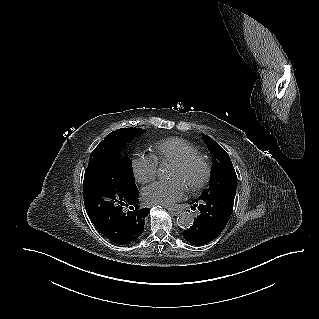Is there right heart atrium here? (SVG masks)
<instances>
[{"instance_id":"d8ad5b80","label":"right heart atrium","mask_w":319,"mask_h":319,"mask_svg":"<svg viewBox=\"0 0 319 319\" xmlns=\"http://www.w3.org/2000/svg\"><path fill=\"white\" fill-rule=\"evenodd\" d=\"M132 173L139 183H147L155 179L158 163L152 155L135 154L131 160Z\"/></svg>"}]
</instances>
